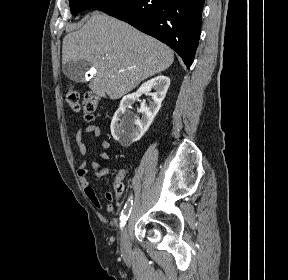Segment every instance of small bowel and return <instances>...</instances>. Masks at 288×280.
Listing matches in <instances>:
<instances>
[{
    "instance_id": "small-bowel-1",
    "label": "small bowel",
    "mask_w": 288,
    "mask_h": 280,
    "mask_svg": "<svg viewBox=\"0 0 288 280\" xmlns=\"http://www.w3.org/2000/svg\"><path fill=\"white\" fill-rule=\"evenodd\" d=\"M87 134H93L96 138L101 137V129L98 125L91 124L88 127H86L84 130L82 128H79L76 131L75 134V142L77 145V148L81 155L85 156L88 152V148L86 143L84 142V135ZM100 146L103 150H106L109 148L110 143L107 139L102 138L100 141ZM99 157L103 160H109V154L105 151H102L99 153ZM89 167H92L94 169L93 175L95 177H100L102 175L101 172V166L96 161H84L80 164V166L77 169V175L79 178V182L83 188V191L86 195V197L90 200V202L97 208H105L106 212H112L114 210V206L112 203H108L105 206L101 202L100 198L96 194L95 189L91 186L89 180H88V174H89ZM125 172L122 171L118 175V179L122 180L124 177ZM106 199L109 202H112L114 200V195L110 192L106 193Z\"/></svg>"
}]
</instances>
